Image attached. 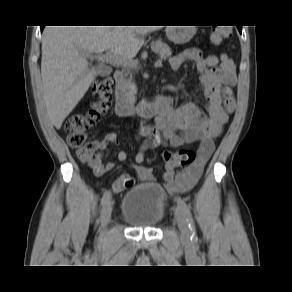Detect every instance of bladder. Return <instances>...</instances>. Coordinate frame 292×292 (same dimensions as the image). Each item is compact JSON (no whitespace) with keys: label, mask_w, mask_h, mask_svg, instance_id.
I'll use <instances>...</instances> for the list:
<instances>
[{"label":"bladder","mask_w":292,"mask_h":292,"mask_svg":"<svg viewBox=\"0 0 292 292\" xmlns=\"http://www.w3.org/2000/svg\"><path fill=\"white\" fill-rule=\"evenodd\" d=\"M166 197L161 187L155 184H139L124 196L121 216L131 227L153 228L164 217Z\"/></svg>","instance_id":"31cf9c89"}]
</instances>
